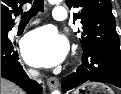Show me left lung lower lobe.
I'll return each instance as SVG.
<instances>
[{
  "label": "left lung lower lobe",
  "mask_w": 121,
  "mask_h": 94,
  "mask_svg": "<svg viewBox=\"0 0 121 94\" xmlns=\"http://www.w3.org/2000/svg\"><path fill=\"white\" fill-rule=\"evenodd\" d=\"M88 81L109 83L121 88V50L104 47L83 50L82 64L76 72L62 79V91Z\"/></svg>",
  "instance_id": "left-lung-lower-lobe-1"
}]
</instances>
